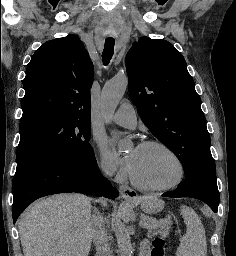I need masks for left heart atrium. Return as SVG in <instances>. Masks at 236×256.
Masks as SVG:
<instances>
[{
    "label": "left heart atrium",
    "instance_id": "left-heart-atrium-1",
    "mask_svg": "<svg viewBox=\"0 0 236 256\" xmlns=\"http://www.w3.org/2000/svg\"><path fill=\"white\" fill-rule=\"evenodd\" d=\"M124 163H125L128 167H130V165H131V157L128 156V157L124 160Z\"/></svg>",
    "mask_w": 236,
    "mask_h": 256
}]
</instances>
